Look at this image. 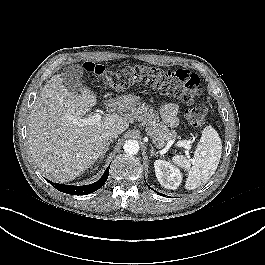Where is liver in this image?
Here are the masks:
<instances>
[{
	"mask_svg": "<svg viewBox=\"0 0 265 265\" xmlns=\"http://www.w3.org/2000/svg\"><path fill=\"white\" fill-rule=\"evenodd\" d=\"M97 103L87 87L69 92L63 74L54 75L43 87L29 118L28 145L38 168L48 177L69 182L91 167L103 154L107 131L123 133L129 126L126 117L105 114L99 123L78 126L80 119ZM114 109L129 110V99L112 101Z\"/></svg>",
	"mask_w": 265,
	"mask_h": 265,
	"instance_id": "6515ba94",
	"label": "liver"
}]
</instances>
